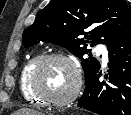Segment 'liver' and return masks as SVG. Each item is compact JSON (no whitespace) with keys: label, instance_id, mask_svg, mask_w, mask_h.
Masks as SVG:
<instances>
[{"label":"liver","instance_id":"1","mask_svg":"<svg viewBox=\"0 0 131 115\" xmlns=\"http://www.w3.org/2000/svg\"><path fill=\"white\" fill-rule=\"evenodd\" d=\"M13 115H42L41 113L35 111V110H31V109H20L16 112H14Z\"/></svg>","mask_w":131,"mask_h":115}]
</instances>
